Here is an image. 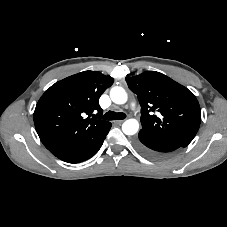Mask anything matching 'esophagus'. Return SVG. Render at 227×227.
Segmentation results:
<instances>
[{"label": "esophagus", "instance_id": "1", "mask_svg": "<svg viewBox=\"0 0 227 227\" xmlns=\"http://www.w3.org/2000/svg\"><path fill=\"white\" fill-rule=\"evenodd\" d=\"M123 122H124V120H116V121H114V123L118 124V125L122 124Z\"/></svg>", "mask_w": 227, "mask_h": 227}]
</instances>
